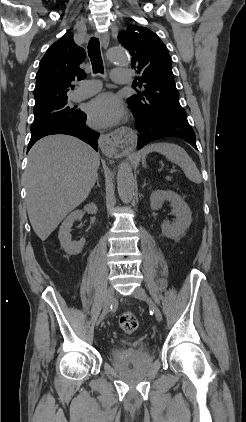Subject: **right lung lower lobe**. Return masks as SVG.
Returning a JSON list of instances; mask_svg holds the SVG:
<instances>
[{
	"instance_id": "right-lung-lower-lobe-1",
	"label": "right lung lower lobe",
	"mask_w": 246,
	"mask_h": 422,
	"mask_svg": "<svg viewBox=\"0 0 246 422\" xmlns=\"http://www.w3.org/2000/svg\"><path fill=\"white\" fill-rule=\"evenodd\" d=\"M52 134H66L75 136L88 143L96 151H98L97 140L99 133L93 132L87 127L86 115L83 112H80V115L74 120L53 122L31 130V139L27 150L29 151L35 142L40 138Z\"/></svg>"
}]
</instances>
